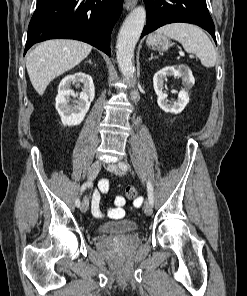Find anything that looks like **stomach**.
<instances>
[{
    "label": "stomach",
    "instance_id": "obj_1",
    "mask_svg": "<svg viewBox=\"0 0 247 296\" xmlns=\"http://www.w3.org/2000/svg\"><path fill=\"white\" fill-rule=\"evenodd\" d=\"M146 43L149 48L157 51H166L170 47L169 39L162 34H151Z\"/></svg>",
    "mask_w": 247,
    "mask_h": 296
}]
</instances>
